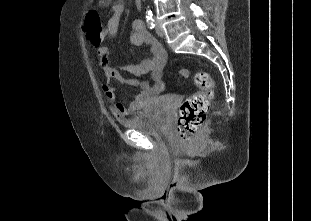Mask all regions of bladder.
<instances>
[{"label": "bladder", "instance_id": "obj_1", "mask_svg": "<svg viewBox=\"0 0 311 221\" xmlns=\"http://www.w3.org/2000/svg\"><path fill=\"white\" fill-rule=\"evenodd\" d=\"M177 95H161L156 98L152 108H146L145 112L137 113L127 120L124 125L133 130H138L143 135L165 134L171 124L170 110L172 102Z\"/></svg>", "mask_w": 311, "mask_h": 221}]
</instances>
